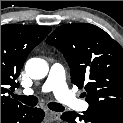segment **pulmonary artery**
Returning a JSON list of instances; mask_svg holds the SVG:
<instances>
[{"mask_svg":"<svg viewBox=\"0 0 123 123\" xmlns=\"http://www.w3.org/2000/svg\"><path fill=\"white\" fill-rule=\"evenodd\" d=\"M42 92H53L55 97L63 104L77 110H86L88 104L78 100L68 89L65 82L64 68L59 64H54L49 71L47 79L42 86ZM25 95H33L32 89H26Z\"/></svg>","mask_w":123,"mask_h":123,"instance_id":"e3ab8cb5","label":"pulmonary artery"}]
</instances>
